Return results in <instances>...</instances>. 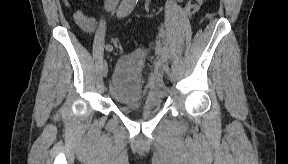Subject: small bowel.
I'll return each instance as SVG.
<instances>
[{"instance_id":"c3829d8e","label":"small bowel","mask_w":288,"mask_h":164,"mask_svg":"<svg viewBox=\"0 0 288 164\" xmlns=\"http://www.w3.org/2000/svg\"><path fill=\"white\" fill-rule=\"evenodd\" d=\"M115 7V3L114 1H107L105 3V8L106 9H113ZM77 14V15H84L86 20H87V24L83 27L85 30L87 31H91L94 29L95 27V19L94 17L90 16V15H86L84 14L81 10H77L74 15Z\"/></svg>"}]
</instances>
